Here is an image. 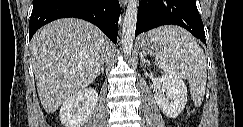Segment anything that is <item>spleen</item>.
<instances>
[{"label":"spleen","instance_id":"spleen-1","mask_svg":"<svg viewBox=\"0 0 243 127\" xmlns=\"http://www.w3.org/2000/svg\"><path fill=\"white\" fill-rule=\"evenodd\" d=\"M157 39L164 44L156 64L170 76L188 80L195 104L203 101L207 80V62L204 51L186 30L166 26L157 32Z\"/></svg>","mask_w":243,"mask_h":127}]
</instances>
